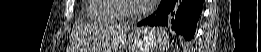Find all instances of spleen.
<instances>
[{
  "mask_svg": "<svg viewBox=\"0 0 261 52\" xmlns=\"http://www.w3.org/2000/svg\"><path fill=\"white\" fill-rule=\"evenodd\" d=\"M168 45V36L166 33L161 32V41L159 43V46L161 50H164Z\"/></svg>",
  "mask_w": 261,
  "mask_h": 52,
  "instance_id": "spleen-1",
  "label": "spleen"
}]
</instances>
